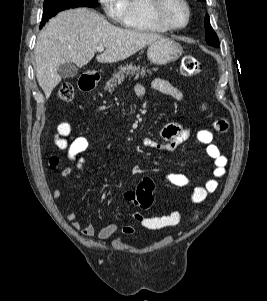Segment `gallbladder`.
<instances>
[{
  "instance_id": "1",
  "label": "gallbladder",
  "mask_w": 267,
  "mask_h": 301,
  "mask_svg": "<svg viewBox=\"0 0 267 301\" xmlns=\"http://www.w3.org/2000/svg\"><path fill=\"white\" fill-rule=\"evenodd\" d=\"M58 73L62 78H73L77 75L78 69L73 63L67 62L59 66Z\"/></svg>"
}]
</instances>
